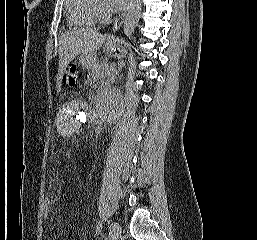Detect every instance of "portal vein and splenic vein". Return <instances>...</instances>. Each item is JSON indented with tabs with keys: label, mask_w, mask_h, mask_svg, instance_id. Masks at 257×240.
<instances>
[{
	"label": "portal vein and splenic vein",
	"mask_w": 257,
	"mask_h": 240,
	"mask_svg": "<svg viewBox=\"0 0 257 240\" xmlns=\"http://www.w3.org/2000/svg\"><path fill=\"white\" fill-rule=\"evenodd\" d=\"M113 70H114V67L111 66L110 69H109V74H110V72L113 71Z\"/></svg>",
	"instance_id": "obj_1"
}]
</instances>
